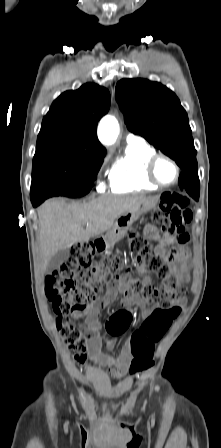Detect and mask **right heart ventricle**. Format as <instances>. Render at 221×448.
Returning a JSON list of instances; mask_svg holds the SVG:
<instances>
[{
    "instance_id": "obj_1",
    "label": "right heart ventricle",
    "mask_w": 221,
    "mask_h": 448,
    "mask_svg": "<svg viewBox=\"0 0 221 448\" xmlns=\"http://www.w3.org/2000/svg\"><path fill=\"white\" fill-rule=\"evenodd\" d=\"M155 154V150L145 142L128 143L123 155L111 168L110 190L114 193H129L158 188L146 177V164Z\"/></svg>"
}]
</instances>
